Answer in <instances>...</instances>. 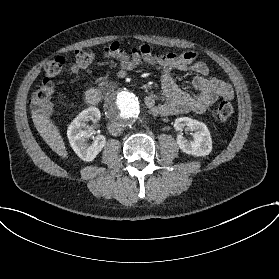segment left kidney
Segmentation results:
<instances>
[{
    "label": "left kidney",
    "instance_id": "left-kidney-1",
    "mask_svg": "<svg viewBox=\"0 0 279 279\" xmlns=\"http://www.w3.org/2000/svg\"><path fill=\"white\" fill-rule=\"evenodd\" d=\"M185 127L194 132L192 140H188L182 135ZM174 129L180 132L176 141L183 152L194 156H206L212 151L211 135L203 122L190 117H180L175 119Z\"/></svg>",
    "mask_w": 279,
    "mask_h": 279
}]
</instances>
